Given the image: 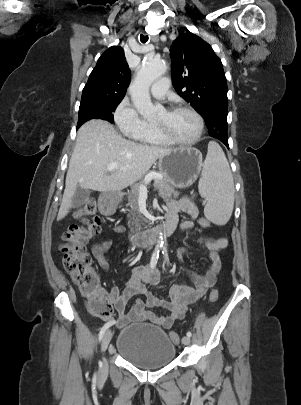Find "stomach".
Listing matches in <instances>:
<instances>
[{
    "label": "stomach",
    "instance_id": "obj_1",
    "mask_svg": "<svg viewBox=\"0 0 301 405\" xmlns=\"http://www.w3.org/2000/svg\"><path fill=\"white\" fill-rule=\"evenodd\" d=\"M202 166V153L188 146L171 149L158 162L159 171L175 188L192 186L198 179Z\"/></svg>",
    "mask_w": 301,
    "mask_h": 405
}]
</instances>
